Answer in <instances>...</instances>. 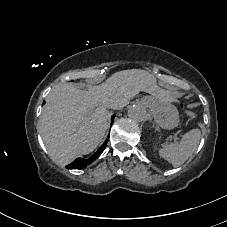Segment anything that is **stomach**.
<instances>
[{"mask_svg":"<svg viewBox=\"0 0 227 227\" xmlns=\"http://www.w3.org/2000/svg\"><path fill=\"white\" fill-rule=\"evenodd\" d=\"M145 102L148 103L157 125L163 129H173L178 125L179 112L174 105L154 97H146Z\"/></svg>","mask_w":227,"mask_h":227,"instance_id":"stomach-1","label":"stomach"}]
</instances>
